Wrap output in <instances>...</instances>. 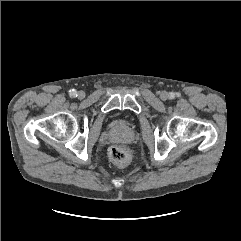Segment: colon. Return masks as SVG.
Listing matches in <instances>:
<instances>
[{"instance_id":"1","label":"colon","mask_w":241,"mask_h":241,"mask_svg":"<svg viewBox=\"0 0 241 241\" xmlns=\"http://www.w3.org/2000/svg\"><path fill=\"white\" fill-rule=\"evenodd\" d=\"M109 157L118 166H125L130 158L129 152L121 146H112L109 149Z\"/></svg>"}]
</instances>
